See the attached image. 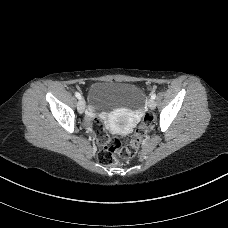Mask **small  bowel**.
Listing matches in <instances>:
<instances>
[{
	"mask_svg": "<svg viewBox=\"0 0 228 228\" xmlns=\"http://www.w3.org/2000/svg\"><path fill=\"white\" fill-rule=\"evenodd\" d=\"M87 120H88V121L91 120V115H88ZM104 138H105V136H104V134H103V136H102V137H99L98 139L101 141V140H103Z\"/></svg>",
	"mask_w": 228,
	"mask_h": 228,
	"instance_id": "small-bowel-1",
	"label": "small bowel"
}]
</instances>
